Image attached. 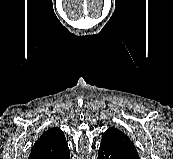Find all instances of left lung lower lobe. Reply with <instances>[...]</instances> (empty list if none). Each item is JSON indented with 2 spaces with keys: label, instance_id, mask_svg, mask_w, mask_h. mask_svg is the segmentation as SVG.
<instances>
[{
  "label": "left lung lower lobe",
  "instance_id": "left-lung-lower-lobe-1",
  "mask_svg": "<svg viewBox=\"0 0 173 159\" xmlns=\"http://www.w3.org/2000/svg\"><path fill=\"white\" fill-rule=\"evenodd\" d=\"M98 159H137V158L120 153L105 144H101L99 147Z\"/></svg>",
  "mask_w": 173,
  "mask_h": 159
}]
</instances>
